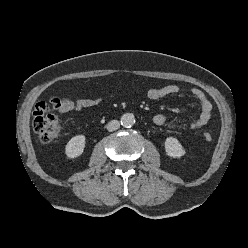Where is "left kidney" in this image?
<instances>
[{"mask_svg":"<svg viewBox=\"0 0 248 248\" xmlns=\"http://www.w3.org/2000/svg\"><path fill=\"white\" fill-rule=\"evenodd\" d=\"M166 154L173 158H180L185 155L186 151L181 143L173 137H168L165 140Z\"/></svg>","mask_w":248,"mask_h":248,"instance_id":"left-kidney-1","label":"left kidney"}]
</instances>
